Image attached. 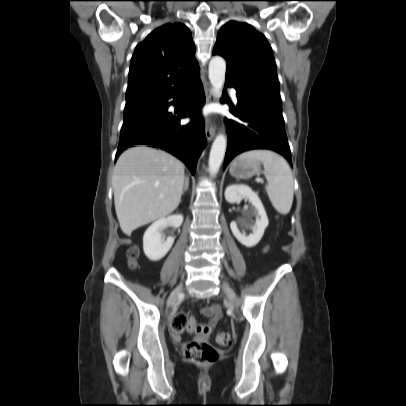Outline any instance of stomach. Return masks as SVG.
<instances>
[{
    "mask_svg": "<svg viewBox=\"0 0 406 406\" xmlns=\"http://www.w3.org/2000/svg\"><path fill=\"white\" fill-rule=\"evenodd\" d=\"M261 163L258 160H247L237 157L230 165V174L238 179L250 178L260 173Z\"/></svg>",
    "mask_w": 406,
    "mask_h": 406,
    "instance_id": "1",
    "label": "stomach"
}]
</instances>
